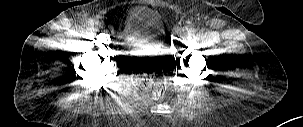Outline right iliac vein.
<instances>
[{
	"instance_id": "obj_1",
	"label": "right iliac vein",
	"mask_w": 303,
	"mask_h": 127,
	"mask_svg": "<svg viewBox=\"0 0 303 127\" xmlns=\"http://www.w3.org/2000/svg\"><path fill=\"white\" fill-rule=\"evenodd\" d=\"M103 25H104V23L101 22V21H97V23H96V26L99 27V28H102Z\"/></svg>"
}]
</instances>
